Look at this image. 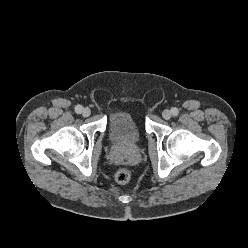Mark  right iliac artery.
<instances>
[{"label":"right iliac artery","instance_id":"obj_1","mask_svg":"<svg viewBox=\"0 0 248 248\" xmlns=\"http://www.w3.org/2000/svg\"><path fill=\"white\" fill-rule=\"evenodd\" d=\"M82 109H83L82 105H77V106L75 107V112H76L77 114H80V113L82 112Z\"/></svg>","mask_w":248,"mask_h":248}]
</instances>
